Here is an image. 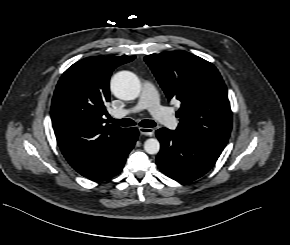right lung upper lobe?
Returning <instances> with one entry per match:
<instances>
[{
	"label": "right lung upper lobe",
	"instance_id": "cb5924a9",
	"mask_svg": "<svg viewBox=\"0 0 290 245\" xmlns=\"http://www.w3.org/2000/svg\"><path fill=\"white\" fill-rule=\"evenodd\" d=\"M135 56L82 59L61 76L52 99L57 143L69 164L87 177L105 168L126 148L129 128L104 124L112 71Z\"/></svg>",
	"mask_w": 290,
	"mask_h": 245
}]
</instances>
